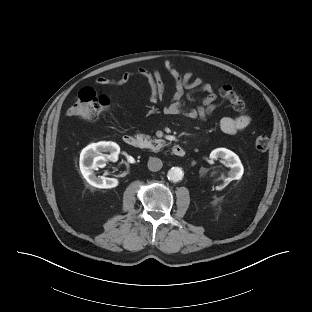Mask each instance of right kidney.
<instances>
[{"label": "right kidney", "instance_id": "ca27d5eb", "mask_svg": "<svg viewBox=\"0 0 312 312\" xmlns=\"http://www.w3.org/2000/svg\"><path fill=\"white\" fill-rule=\"evenodd\" d=\"M109 152V155L102 154ZM120 147L114 142H98L85 147L80 154V170L86 181L97 188H114L119 181L116 178L96 176L94 170L105 166L107 159L117 160Z\"/></svg>", "mask_w": 312, "mask_h": 312}]
</instances>
